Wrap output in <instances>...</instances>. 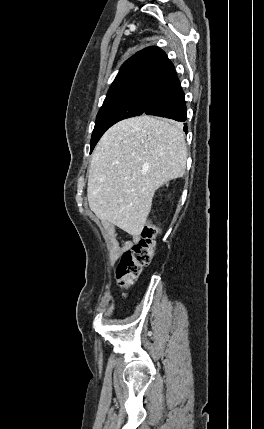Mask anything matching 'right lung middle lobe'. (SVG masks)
<instances>
[{
  "instance_id": "obj_1",
  "label": "right lung middle lobe",
  "mask_w": 264,
  "mask_h": 429,
  "mask_svg": "<svg viewBox=\"0 0 264 429\" xmlns=\"http://www.w3.org/2000/svg\"><path fill=\"white\" fill-rule=\"evenodd\" d=\"M161 87L135 86L107 94L100 108L91 138V152L104 132L116 122L144 113Z\"/></svg>"
}]
</instances>
